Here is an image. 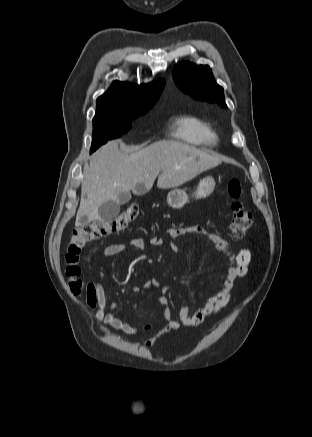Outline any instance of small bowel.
<instances>
[{
	"mask_svg": "<svg viewBox=\"0 0 312 437\" xmlns=\"http://www.w3.org/2000/svg\"><path fill=\"white\" fill-rule=\"evenodd\" d=\"M198 235L208 239L214 248L223 253L229 260V268L224 277L222 287L213 295H211L204 305L198 307L194 312L186 305L182 306L178 311L176 318L171 310L169 300L165 296L167 287H162V294L158 298L159 304L163 308L165 323L159 328L155 335L146 340L145 345L151 346L155 344L161 337L178 330L181 326L196 327L201 325L207 317L218 313L223 309L231 299V290L237 278L247 274L249 266L252 262V253L248 248L241 249L238 253H233L226 240L215 233H212L202 226H185L171 227L166 230V236L170 241L171 248L174 252L180 251V245L177 242L181 236ZM161 238L153 237V243L161 242ZM146 241L142 238H132L127 242L115 243L106 246L102 255L104 257H112L121 254L128 246L139 250L146 248ZM159 281L156 279L146 280L143 284L144 289L159 287ZM132 291L137 293L140 287L134 286ZM87 306L95 310L96 318L104 324L100 331L102 334L113 338L120 339L118 335L110 332L107 327L123 332L126 335H135L138 332H147L152 329V322L141 321L137 324H129L112 313L107 312L108 302L105 288L97 282H89L87 284ZM117 305L111 304L110 309L115 310Z\"/></svg>",
	"mask_w": 312,
	"mask_h": 437,
	"instance_id": "c3829d8e",
	"label": "small bowel"
}]
</instances>
